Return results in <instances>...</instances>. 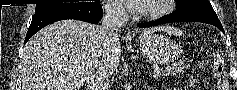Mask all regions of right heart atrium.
I'll use <instances>...</instances> for the list:
<instances>
[{"instance_id": "right-heart-atrium-1", "label": "right heart atrium", "mask_w": 237, "mask_h": 90, "mask_svg": "<svg viewBox=\"0 0 237 90\" xmlns=\"http://www.w3.org/2000/svg\"><path fill=\"white\" fill-rule=\"evenodd\" d=\"M110 13L113 16L120 17L123 13V10L120 6H113V7L110 8Z\"/></svg>"}]
</instances>
